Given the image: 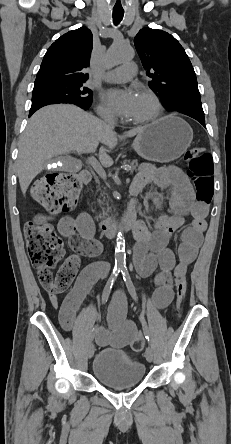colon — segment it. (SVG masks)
<instances>
[{
    "mask_svg": "<svg viewBox=\"0 0 231 444\" xmlns=\"http://www.w3.org/2000/svg\"><path fill=\"white\" fill-rule=\"evenodd\" d=\"M187 173L194 181L196 197L199 202L210 203L213 195V162L211 155L204 149L193 147L184 156ZM82 182L75 174L53 173L37 180L31 190L35 201L45 207L50 214L71 210L77 200ZM45 215H40L27 223L25 239L31 262L37 271L39 281L48 292L65 291L76 276L79 259L70 256L56 274L53 268L63 257L61 239L57 236ZM176 302L173 316L177 317L187 290L185 276L176 280ZM143 347L141 340L131 344L132 352H139Z\"/></svg>",
    "mask_w": 231,
    "mask_h": 444,
    "instance_id": "colon-1",
    "label": "colon"
}]
</instances>
